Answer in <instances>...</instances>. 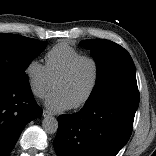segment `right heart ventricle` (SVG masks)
<instances>
[{"mask_svg":"<svg viewBox=\"0 0 156 156\" xmlns=\"http://www.w3.org/2000/svg\"><path fill=\"white\" fill-rule=\"evenodd\" d=\"M83 53L67 42H59L45 55V67L49 78L54 82L67 67Z\"/></svg>","mask_w":156,"mask_h":156,"instance_id":"e07e8e85","label":"right heart ventricle"}]
</instances>
